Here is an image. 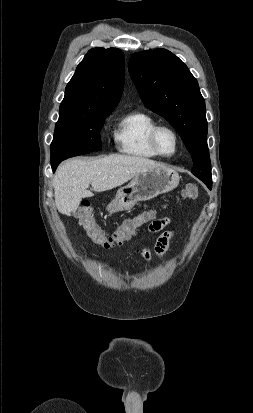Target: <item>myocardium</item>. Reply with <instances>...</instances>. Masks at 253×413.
<instances>
[{
  "label": "myocardium",
  "mask_w": 253,
  "mask_h": 413,
  "mask_svg": "<svg viewBox=\"0 0 253 413\" xmlns=\"http://www.w3.org/2000/svg\"><path fill=\"white\" fill-rule=\"evenodd\" d=\"M162 129H166V130L170 131L173 134L174 138H175L176 148H175V151L172 154L163 153L160 150L159 146H158L157 136H158L159 131L162 130ZM148 139H149V144H150L152 150L158 156H161V157H164V158H170V157L175 156L178 153V151L180 149V145H181L180 136H179L178 132L175 130V128H173L171 125L163 124V123L156 124L151 128V130L149 132Z\"/></svg>",
  "instance_id": "obj_1"
}]
</instances>
